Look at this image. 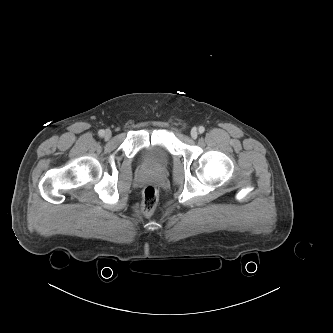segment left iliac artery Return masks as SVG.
Returning <instances> with one entry per match:
<instances>
[{
    "label": "left iliac artery",
    "mask_w": 333,
    "mask_h": 333,
    "mask_svg": "<svg viewBox=\"0 0 333 333\" xmlns=\"http://www.w3.org/2000/svg\"><path fill=\"white\" fill-rule=\"evenodd\" d=\"M198 130H199V133H203L205 131V128L203 126H200Z\"/></svg>",
    "instance_id": "obj_1"
}]
</instances>
